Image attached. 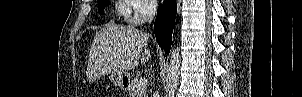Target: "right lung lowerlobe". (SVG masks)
Returning a JSON list of instances; mask_svg holds the SVG:
<instances>
[{"label":"right lung lower lobe","instance_id":"1","mask_svg":"<svg viewBox=\"0 0 302 97\" xmlns=\"http://www.w3.org/2000/svg\"><path fill=\"white\" fill-rule=\"evenodd\" d=\"M176 17V4L174 0H164L157 10L154 24V33L159 45L168 54L170 52L172 31Z\"/></svg>","mask_w":302,"mask_h":97}]
</instances>
